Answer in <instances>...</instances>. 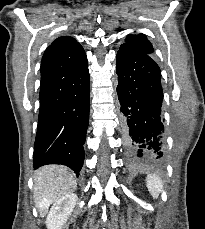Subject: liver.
Listing matches in <instances>:
<instances>
[{
  "label": "liver",
  "instance_id": "6515ba94",
  "mask_svg": "<svg viewBox=\"0 0 205 229\" xmlns=\"http://www.w3.org/2000/svg\"><path fill=\"white\" fill-rule=\"evenodd\" d=\"M77 188L73 173L63 165H48L40 168L34 175V201L41 217L49 206L60 198L71 194Z\"/></svg>",
  "mask_w": 205,
  "mask_h": 229
}]
</instances>
